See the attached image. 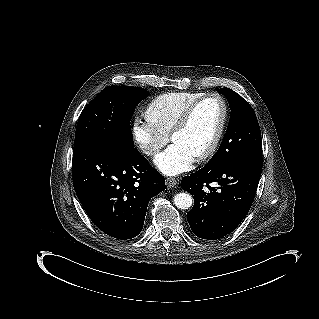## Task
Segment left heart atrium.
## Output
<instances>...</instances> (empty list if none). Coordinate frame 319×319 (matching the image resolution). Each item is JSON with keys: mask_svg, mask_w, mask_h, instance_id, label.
<instances>
[{"mask_svg": "<svg viewBox=\"0 0 319 319\" xmlns=\"http://www.w3.org/2000/svg\"><path fill=\"white\" fill-rule=\"evenodd\" d=\"M195 155L182 143L175 141L156 158V166L165 174L175 175L191 169Z\"/></svg>", "mask_w": 319, "mask_h": 319, "instance_id": "39dd6f15", "label": "left heart atrium"}]
</instances>
